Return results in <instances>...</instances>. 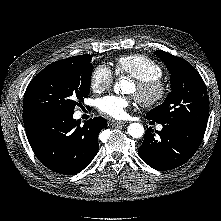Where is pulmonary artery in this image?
<instances>
[{"instance_id":"1","label":"pulmonary artery","mask_w":221,"mask_h":221,"mask_svg":"<svg viewBox=\"0 0 221 221\" xmlns=\"http://www.w3.org/2000/svg\"><path fill=\"white\" fill-rule=\"evenodd\" d=\"M158 129L161 130V129H162V126H159Z\"/></svg>"}]
</instances>
